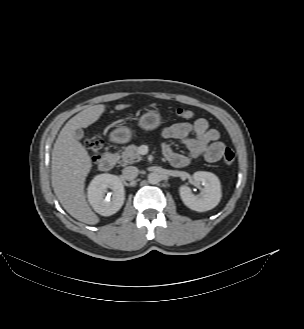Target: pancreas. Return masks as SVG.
<instances>
[{
  "label": "pancreas",
  "instance_id": "pancreas-1",
  "mask_svg": "<svg viewBox=\"0 0 304 329\" xmlns=\"http://www.w3.org/2000/svg\"><path fill=\"white\" fill-rule=\"evenodd\" d=\"M117 154L121 158L119 163L123 166L142 160V157L139 154V147L134 144L127 146L123 151L118 152Z\"/></svg>",
  "mask_w": 304,
  "mask_h": 329
}]
</instances>
